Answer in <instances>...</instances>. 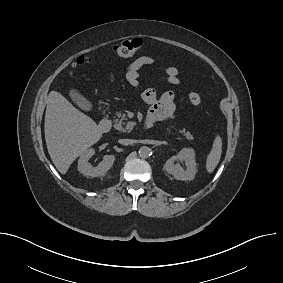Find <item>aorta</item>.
Here are the masks:
<instances>
[{"instance_id": "1", "label": "aorta", "mask_w": 283, "mask_h": 283, "mask_svg": "<svg viewBox=\"0 0 283 283\" xmlns=\"http://www.w3.org/2000/svg\"><path fill=\"white\" fill-rule=\"evenodd\" d=\"M138 153H139V156L141 158L145 159V158H148L151 155V149L147 146H142V147H140Z\"/></svg>"}]
</instances>
